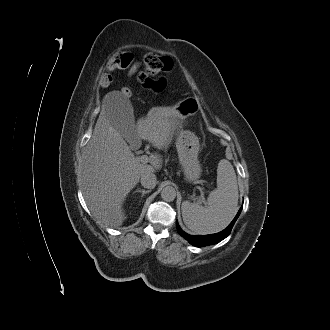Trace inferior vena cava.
Masks as SVG:
<instances>
[{
    "label": "inferior vena cava",
    "mask_w": 330,
    "mask_h": 330,
    "mask_svg": "<svg viewBox=\"0 0 330 330\" xmlns=\"http://www.w3.org/2000/svg\"><path fill=\"white\" fill-rule=\"evenodd\" d=\"M140 181H141V185L144 188H148V189H153L157 184L156 175L152 172H145L141 176Z\"/></svg>",
    "instance_id": "1"
}]
</instances>
